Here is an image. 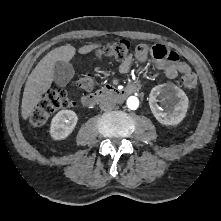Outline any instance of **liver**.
<instances>
[{"label":"liver","instance_id":"liver-1","mask_svg":"<svg viewBox=\"0 0 221 221\" xmlns=\"http://www.w3.org/2000/svg\"><path fill=\"white\" fill-rule=\"evenodd\" d=\"M100 44H90L79 48L80 54H87L100 47ZM76 49L71 45L60 46L49 53L36 65L29 75L24 88L21 115L24 120L32 115L42 99V95L51 87L54 80V65L57 61L69 62Z\"/></svg>","mask_w":221,"mask_h":221}]
</instances>
